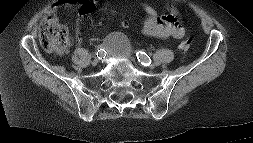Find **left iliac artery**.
<instances>
[{"label":"left iliac artery","instance_id":"1","mask_svg":"<svg viewBox=\"0 0 253 143\" xmlns=\"http://www.w3.org/2000/svg\"><path fill=\"white\" fill-rule=\"evenodd\" d=\"M137 59L142 65L148 66L151 64V58L143 51H138L136 53Z\"/></svg>","mask_w":253,"mask_h":143}]
</instances>
